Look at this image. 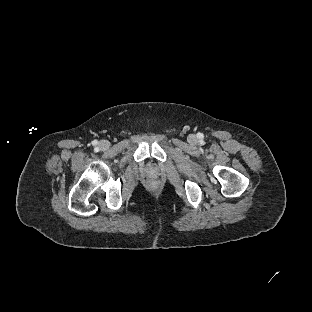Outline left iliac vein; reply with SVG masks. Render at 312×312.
<instances>
[{
  "mask_svg": "<svg viewBox=\"0 0 312 312\" xmlns=\"http://www.w3.org/2000/svg\"><path fill=\"white\" fill-rule=\"evenodd\" d=\"M190 138L193 140V139H195V136H194V135H191Z\"/></svg>",
  "mask_w": 312,
  "mask_h": 312,
  "instance_id": "left-iliac-vein-1",
  "label": "left iliac vein"
}]
</instances>
